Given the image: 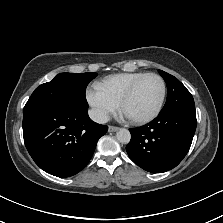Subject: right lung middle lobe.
Returning <instances> with one entry per match:
<instances>
[{
  "label": "right lung middle lobe",
  "mask_w": 223,
  "mask_h": 223,
  "mask_svg": "<svg viewBox=\"0 0 223 223\" xmlns=\"http://www.w3.org/2000/svg\"><path fill=\"white\" fill-rule=\"evenodd\" d=\"M97 76L89 73H60L38 86L24 106L23 113L42 107L70 106L88 109L86 87Z\"/></svg>",
  "instance_id": "1"
}]
</instances>
